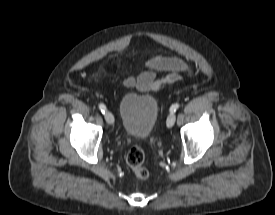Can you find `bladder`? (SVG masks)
Wrapping results in <instances>:
<instances>
[{
    "label": "bladder",
    "mask_w": 275,
    "mask_h": 215,
    "mask_svg": "<svg viewBox=\"0 0 275 215\" xmlns=\"http://www.w3.org/2000/svg\"><path fill=\"white\" fill-rule=\"evenodd\" d=\"M158 101L152 95L127 93L119 103L124 133L131 139L145 140L155 128L158 118Z\"/></svg>",
    "instance_id": "bladder-1"
}]
</instances>
